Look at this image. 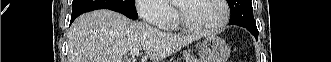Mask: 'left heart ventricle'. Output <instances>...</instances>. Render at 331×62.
Returning <instances> with one entry per match:
<instances>
[{
    "instance_id": "1",
    "label": "left heart ventricle",
    "mask_w": 331,
    "mask_h": 62,
    "mask_svg": "<svg viewBox=\"0 0 331 62\" xmlns=\"http://www.w3.org/2000/svg\"><path fill=\"white\" fill-rule=\"evenodd\" d=\"M181 7L188 23L202 28L217 26L223 15V9L218 0L182 1Z\"/></svg>"
}]
</instances>
